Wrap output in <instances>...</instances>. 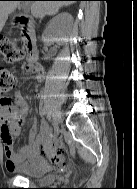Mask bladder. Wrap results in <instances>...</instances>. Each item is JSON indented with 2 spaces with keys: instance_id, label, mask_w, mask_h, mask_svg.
Listing matches in <instances>:
<instances>
[{
  "instance_id": "1",
  "label": "bladder",
  "mask_w": 137,
  "mask_h": 189,
  "mask_svg": "<svg viewBox=\"0 0 137 189\" xmlns=\"http://www.w3.org/2000/svg\"><path fill=\"white\" fill-rule=\"evenodd\" d=\"M30 179H39L45 183L52 184L55 182V177L45 169H33L26 174Z\"/></svg>"
}]
</instances>
